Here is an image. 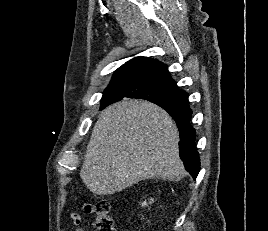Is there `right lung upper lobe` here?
I'll list each match as a JSON object with an SVG mask.
<instances>
[{"label": "right lung upper lobe", "mask_w": 268, "mask_h": 231, "mask_svg": "<svg viewBox=\"0 0 268 231\" xmlns=\"http://www.w3.org/2000/svg\"><path fill=\"white\" fill-rule=\"evenodd\" d=\"M154 82L177 88L175 81L170 77L167 66L149 57H136L118 68L107 88H132L139 84ZM178 89V88H177ZM123 97H133L130 92L114 96L106 101L109 105L121 100ZM161 107L179 106L166 101L149 100ZM182 107V106H181Z\"/></svg>", "instance_id": "cb5924a9"}]
</instances>
